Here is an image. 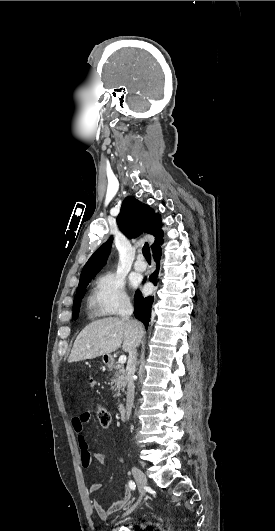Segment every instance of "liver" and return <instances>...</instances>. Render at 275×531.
<instances>
[{"label":"liver","mask_w":275,"mask_h":531,"mask_svg":"<svg viewBox=\"0 0 275 531\" xmlns=\"http://www.w3.org/2000/svg\"><path fill=\"white\" fill-rule=\"evenodd\" d=\"M144 329L139 321H123L118 317H108L93 321L79 333L68 359L69 363L95 359L106 353L122 349L128 353L137 347L143 337Z\"/></svg>","instance_id":"obj_1"}]
</instances>
